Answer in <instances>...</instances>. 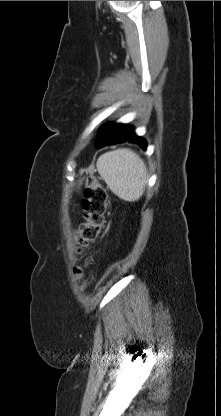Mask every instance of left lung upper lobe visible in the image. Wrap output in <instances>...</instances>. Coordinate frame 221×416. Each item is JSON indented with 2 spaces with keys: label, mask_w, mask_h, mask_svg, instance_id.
Returning <instances> with one entry per match:
<instances>
[{
  "label": "left lung upper lobe",
  "mask_w": 221,
  "mask_h": 416,
  "mask_svg": "<svg viewBox=\"0 0 221 416\" xmlns=\"http://www.w3.org/2000/svg\"><path fill=\"white\" fill-rule=\"evenodd\" d=\"M132 127L124 124H107L99 129L98 141L104 143L105 141H115L116 139L126 136L130 133Z\"/></svg>",
  "instance_id": "obj_1"
}]
</instances>
